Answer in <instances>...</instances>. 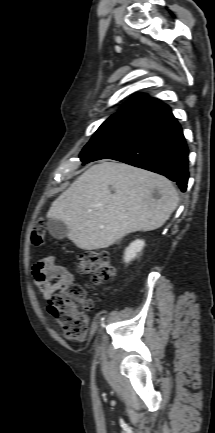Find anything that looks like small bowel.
Instances as JSON below:
<instances>
[{
    "label": "small bowel",
    "instance_id": "c3829d8e",
    "mask_svg": "<svg viewBox=\"0 0 215 433\" xmlns=\"http://www.w3.org/2000/svg\"><path fill=\"white\" fill-rule=\"evenodd\" d=\"M32 277L45 300H49L57 291L66 290L74 282L71 271L58 265L54 256L37 261L32 267Z\"/></svg>",
    "mask_w": 215,
    "mask_h": 433
}]
</instances>
